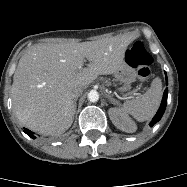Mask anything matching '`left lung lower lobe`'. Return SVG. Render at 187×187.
<instances>
[{
	"instance_id": "0a47b994",
	"label": "left lung lower lobe",
	"mask_w": 187,
	"mask_h": 187,
	"mask_svg": "<svg viewBox=\"0 0 187 187\" xmlns=\"http://www.w3.org/2000/svg\"><path fill=\"white\" fill-rule=\"evenodd\" d=\"M166 83H168L167 76H166ZM167 95H168V89L164 91L162 102L160 105V108L158 109L156 115L153 117L152 121L150 122V127H152L154 124H156L161 117L163 116L167 104Z\"/></svg>"
}]
</instances>
